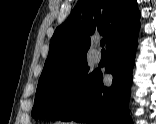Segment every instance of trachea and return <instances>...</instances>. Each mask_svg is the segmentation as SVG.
<instances>
[{"mask_svg":"<svg viewBox=\"0 0 156 124\" xmlns=\"http://www.w3.org/2000/svg\"><path fill=\"white\" fill-rule=\"evenodd\" d=\"M100 45H101V47H104V45H105V40H104V39H102V40L100 41Z\"/></svg>","mask_w":156,"mask_h":124,"instance_id":"3493384b","label":"trachea"}]
</instances>
